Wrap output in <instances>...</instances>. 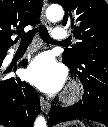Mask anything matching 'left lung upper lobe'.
I'll return each mask as SVG.
<instances>
[{
    "label": "left lung upper lobe",
    "instance_id": "obj_1",
    "mask_svg": "<svg viewBox=\"0 0 108 127\" xmlns=\"http://www.w3.org/2000/svg\"><path fill=\"white\" fill-rule=\"evenodd\" d=\"M65 9L62 25L72 26L79 41L62 54L68 67L79 71L87 59L99 61L108 54V4L104 0H50ZM84 77V76H83Z\"/></svg>",
    "mask_w": 108,
    "mask_h": 127
}]
</instances>
